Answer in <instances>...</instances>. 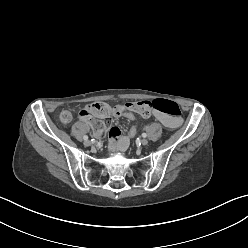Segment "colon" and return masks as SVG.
<instances>
[{
    "instance_id": "5ec220e1",
    "label": "colon",
    "mask_w": 248,
    "mask_h": 248,
    "mask_svg": "<svg viewBox=\"0 0 248 248\" xmlns=\"http://www.w3.org/2000/svg\"><path fill=\"white\" fill-rule=\"evenodd\" d=\"M124 108L128 110L123 111V117L127 118L130 122L137 121L143 123L144 119L141 117H136V115L129 110L135 111L143 117H149L153 111L166 113L175 118H180L181 115V110L178 104L174 101L165 99L129 102L124 105ZM116 112L117 107L112 108L102 101H97L95 103H89L85 108H82L79 111V116L84 120L92 119V125L94 127L93 136L97 140H102L106 136V131L103 128L105 122L109 120L112 113L115 114ZM62 117L64 121H67L69 114L67 112H63ZM139 130L138 125H131L128 132L129 136L131 138L137 137Z\"/></svg>"
}]
</instances>
